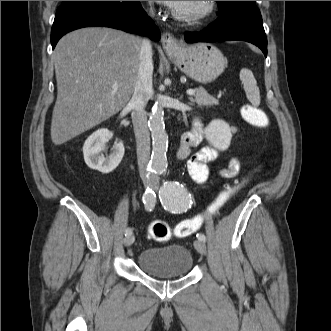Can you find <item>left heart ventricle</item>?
Here are the masks:
<instances>
[{"instance_id": "left-heart-ventricle-1", "label": "left heart ventricle", "mask_w": 331, "mask_h": 331, "mask_svg": "<svg viewBox=\"0 0 331 331\" xmlns=\"http://www.w3.org/2000/svg\"><path fill=\"white\" fill-rule=\"evenodd\" d=\"M202 1H179L175 9L180 12L190 13L197 10Z\"/></svg>"}]
</instances>
